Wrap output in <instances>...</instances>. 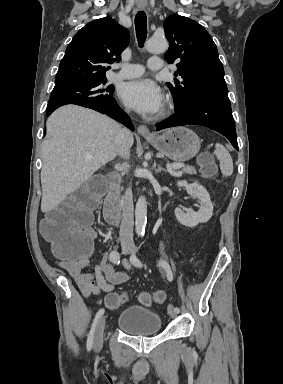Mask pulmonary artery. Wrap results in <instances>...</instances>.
Segmentation results:
<instances>
[{"mask_svg":"<svg viewBox=\"0 0 283 384\" xmlns=\"http://www.w3.org/2000/svg\"><path fill=\"white\" fill-rule=\"evenodd\" d=\"M161 61H148L146 69L147 71H161ZM118 72L116 73V79H130L139 77L143 74L144 68L141 65H123L118 66Z\"/></svg>","mask_w":283,"mask_h":384,"instance_id":"1","label":"pulmonary artery"}]
</instances>
